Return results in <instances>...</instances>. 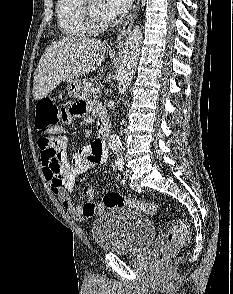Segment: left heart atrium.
I'll list each match as a JSON object with an SVG mask.
<instances>
[{
    "label": "left heart atrium",
    "instance_id": "left-heart-atrium-1",
    "mask_svg": "<svg viewBox=\"0 0 233 294\" xmlns=\"http://www.w3.org/2000/svg\"><path fill=\"white\" fill-rule=\"evenodd\" d=\"M133 0H104V12L109 19L118 17L128 11Z\"/></svg>",
    "mask_w": 233,
    "mask_h": 294
}]
</instances>
